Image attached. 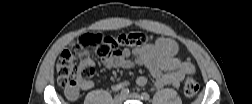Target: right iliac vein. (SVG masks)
<instances>
[{"label":"right iliac vein","instance_id":"obj_1","mask_svg":"<svg viewBox=\"0 0 252 104\" xmlns=\"http://www.w3.org/2000/svg\"><path fill=\"white\" fill-rule=\"evenodd\" d=\"M124 100V97L122 95H117L114 97V103L115 104H121Z\"/></svg>","mask_w":252,"mask_h":104}]
</instances>
